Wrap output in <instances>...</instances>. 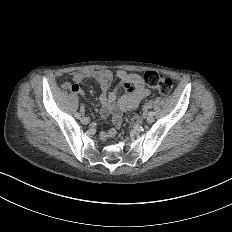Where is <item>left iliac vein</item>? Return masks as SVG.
Instances as JSON below:
<instances>
[{"label":"left iliac vein","instance_id":"obj_1","mask_svg":"<svg viewBox=\"0 0 232 232\" xmlns=\"http://www.w3.org/2000/svg\"><path fill=\"white\" fill-rule=\"evenodd\" d=\"M147 121H148L149 123H152V122L154 121V118H153L152 116H149V117L147 118Z\"/></svg>","mask_w":232,"mask_h":232}]
</instances>
